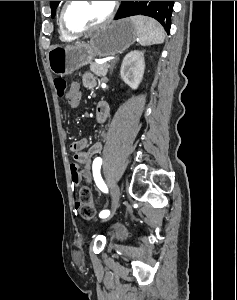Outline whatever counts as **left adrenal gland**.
<instances>
[{
	"label": "left adrenal gland",
	"mask_w": 237,
	"mask_h": 300,
	"mask_svg": "<svg viewBox=\"0 0 237 300\" xmlns=\"http://www.w3.org/2000/svg\"><path fill=\"white\" fill-rule=\"evenodd\" d=\"M114 63H116V61H113V63H111V67H110L111 71H112V67H114Z\"/></svg>",
	"instance_id": "obj_1"
}]
</instances>
